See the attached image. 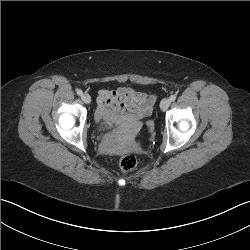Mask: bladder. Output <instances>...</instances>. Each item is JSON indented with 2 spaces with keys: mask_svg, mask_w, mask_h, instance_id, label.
Segmentation results:
<instances>
[{
  "mask_svg": "<svg viewBox=\"0 0 250 250\" xmlns=\"http://www.w3.org/2000/svg\"><path fill=\"white\" fill-rule=\"evenodd\" d=\"M117 127V124L114 121H106L101 122L98 124V129L100 131H109L112 129H115Z\"/></svg>",
  "mask_w": 250,
  "mask_h": 250,
  "instance_id": "31cf9c89",
  "label": "bladder"
}]
</instances>
